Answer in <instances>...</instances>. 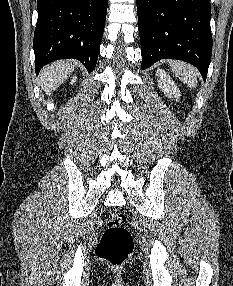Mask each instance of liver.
<instances>
[{
	"mask_svg": "<svg viewBox=\"0 0 233 286\" xmlns=\"http://www.w3.org/2000/svg\"><path fill=\"white\" fill-rule=\"evenodd\" d=\"M75 63L73 61H57L44 67L39 74V83L47 95L55 91L70 76Z\"/></svg>",
	"mask_w": 233,
	"mask_h": 286,
	"instance_id": "1",
	"label": "liver"
}]
</instances>
